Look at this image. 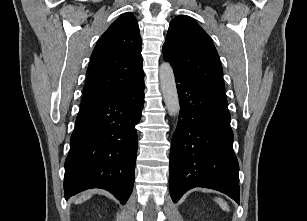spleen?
<instances>
[{
    "mask_svg": "<svg viewBox=\"0 0 307 221\" xmlns=\"http://www.w3.org/2000/svg\"><path fill=\"white\" fill-rule=\"evenodd\" d=\"M217 203L219 204V206L225 210V211H229V207L227 205V202H225L223 199L221 198H216Z\"/></svg>",
    "mask_w": 307,
    "mask_h": 221,
    "instance_id": "spleen-1",
    "label": "spleen"
}]
</instances>
